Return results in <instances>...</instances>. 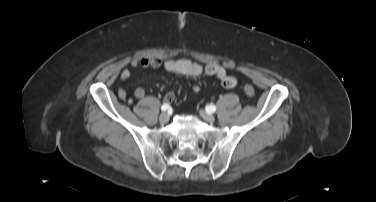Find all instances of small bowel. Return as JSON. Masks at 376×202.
<instances>
[{"mask_svg": "<svg viewBox=\"0 0 376 202\" xmlns=\"http://www.w3.org/2000/svg\"><path fill=\"white\" fill-rule=\"evenodd\" d=\"M131 67L138 68H153L158 69L162 68L168 73L178 74L188 77H200L203 74L214 75L216 76L222 85L226 88H233L237 84L235 77L230 76L226 73L225 69L217 64H208L203 66L201 64L192 62L188 59H179V60H165L162 61L159 58H140L134 59L131 62ZM131 77V71L128 68H124L120 72V79L122 81H127ZM195 91L198 90L197 87L194 88ZM117 95L120 100L125 103L131 104L135 98H143L145 96V90L142 87H138L134 91V97L128 96L127 92L123 88L117 90ZM174 99L173 92H168L166 94V102H171Z\"/></svg>", "mask_w": 376, "mask_h": 202, "instance_id": "1", "label": "small bowel"}]
</instances>
